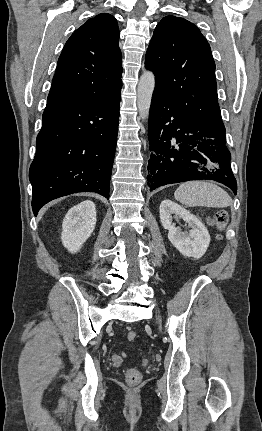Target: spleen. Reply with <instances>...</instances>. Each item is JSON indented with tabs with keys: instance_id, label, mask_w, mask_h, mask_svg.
<instances>
[{
	"instance_id": "obj_1",
	"label": "spleen",
	"mask_w": 262,
	"mask_h": 431,
	"mask_svg": "<svg viewBox=\"0 0 262 431\" xmlns=\"http://www.w3.org/2000/svg\"><path fill=\"white\" fill-rule=\"evenodd\" d=\"M175 200L183 205L225 208L232 204L229 194L221 187L206 181L182 183L174 193Z\"/></svg>"
}]
</instances>
